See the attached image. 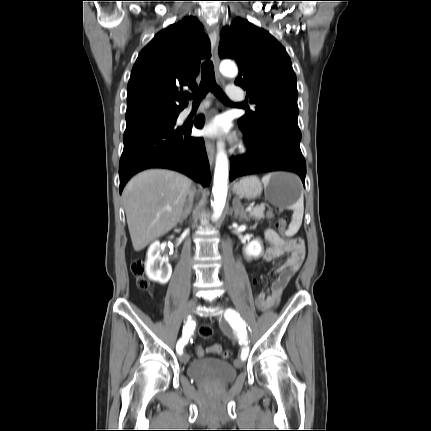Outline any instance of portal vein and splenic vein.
<instances>
[{
  "mask_svg": "<svg viewBox=\"0 0 431 431\" xmlns=\"http://www.w3.org/2000/svg\"><path fill=\"white\" fill-rule=\"evenodd\" d=\"M252 209H253V207H252V206H249L246 210H247L248 212H250ZM166 210H167L168 212H171V211H172V209H171V208H167Z\"/></svg>",
  "mask_w": 431,
  "mask_h": 431,
  "instance_id": "obj_1",
  "label": "portal vein and splenic vein"
}]
</instances>
